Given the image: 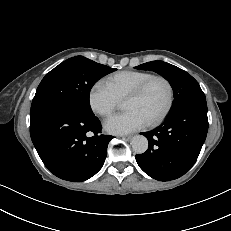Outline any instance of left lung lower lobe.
Returning a JSON list of instances; mask_svg holds the SVG:
<instances>
[{
    "mask_svg": "<svg viewBox=\"0 0 231 231\" xmlns=\"http://www.w3.org/2000/svg\"><path fill=\"white\" fill-rule=\"evenodd\" d=\"M208 131L204 94L183 100L157 128L143 134L149 148L135 156L139 167L159 181L174 180L196 162Z\"/></svg>",
    "mask_w": 231,
    "mask_h": 231,
    "instance_id": "left-lung-lower-lobe-1",
    "label": "left lung lower lobe"
}]
</instances>
